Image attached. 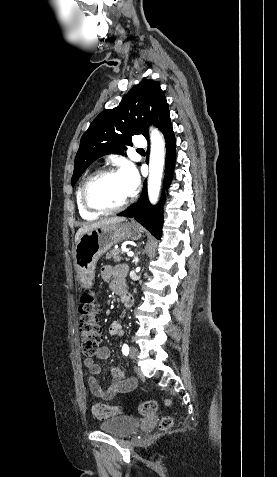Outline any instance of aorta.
Wrapping results in <instances>:
<instances>
[{"label": "aorta", "instance_id": "aorta-1", "mask_svg": "<svg viewBox=\"0 0 277 477\" xmlns=\"http://www.w3.org/2000/svg\"><path fill=\"white\" fill-rule=\"evenodd\" d=\"M148 197L152 204L158 200L165 161V143L157 129L151 128Z\"/></svg>", "mask_w": 277, "mask_h": 477}]
</instances>
